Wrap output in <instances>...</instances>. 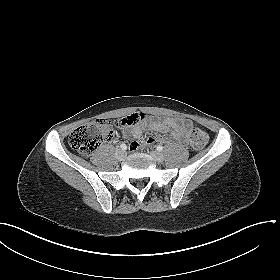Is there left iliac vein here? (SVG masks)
<instances>
[{"instance_id": "1", "label": "left iliac vein", "mask_w": 280, "mask_h": 280, "mask_svg": "<svg viewBox=\"0 0 280 280\" xmlns=\"http://www.w3.org/2000/svg\"><path fill=\"white\" fill-rule=\"evenodd\" d=\"M150 155L157 161V162H163L164 156L158 151H151Z\"/></svg>"}]
</instances>
